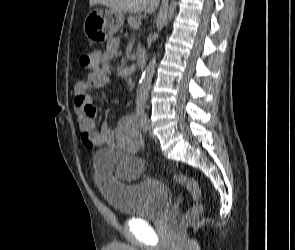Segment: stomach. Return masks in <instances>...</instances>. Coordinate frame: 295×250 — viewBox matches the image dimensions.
<instances>
[{
    "label": "stomach",
    "mask_w": 295,
    "mask_h": 250,
    "mask_svg": "<svg viewBox=\"0 0 295 250\" xmlns=\"http://www.w3.org/2000/svg\"><path fill=\"white\" fill-rule=\"evenodd\" d=\"M124 15L110 8L91 11L84 21V32L91 40H108L124 24Z\"/></svg>",
    "instance_id": "stomach-1"
}]
</instances>
